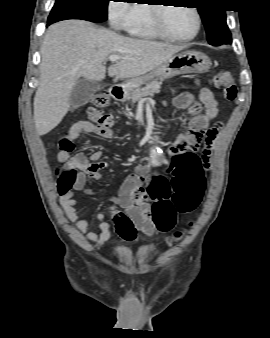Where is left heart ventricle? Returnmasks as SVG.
<instances>
[{"instance_id":"b2bd125f","label":"left heart ventricle","mask_w":270,"mask_h":338,"mask_svg":"<svg viewBox=\"0 0 270 338\" xmlns=\"http://www.w3.org/2000/svg\"><path fill=\"white\" fill-rule=\"evenodd\" d=\"M163 16L167 30L174 36L188 37L196 29V16L188 7H168Z\"/></svg>"}]
</instances>
